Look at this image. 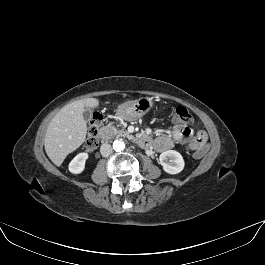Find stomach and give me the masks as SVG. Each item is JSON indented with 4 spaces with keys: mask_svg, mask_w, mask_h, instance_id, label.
Masks as SVG:
<instances>
[{
    "mask_svg": "<svg viewBox=\"0 0 265 265\" xmlns=\"http://www.w3.org/2000/svg\"><path fill=\"white\" fill-rule=\"evenodd\" d=\"M153 107V100L149 97H142L133 101H126L118 106L117 117L126 121H135L143 117Z\"/></svg>",
    "mask_w": 265,
    "mask_h": 265,
    "instance_id": "1",
    "label": "stomach"
}]
</instances>
